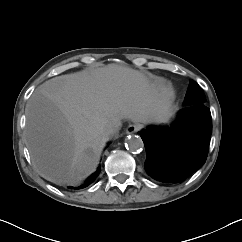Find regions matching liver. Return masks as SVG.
<instances>
[{
  "label": "liver",
  "mask_w": 242,
  "mask_h": 242,
  "mask_svg": "<svg viewBox=\"0 0 242 242\" xmlns=\"http://www.w3.org/2000/svg\"><path fill=\"white\" fill-rule=\"evenodd\" d=\"M173 93L137 70L110 64L62 75L38 87L26 105V141L39 174L77 184L93 173L109 139L105 128L122 119L166 122Z\"/></svg>",
  "instance_id": "liver-1"
}]
</instances>
